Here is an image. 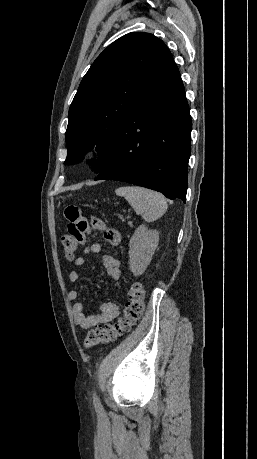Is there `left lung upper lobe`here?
Masks as SVG:
<instances>
[{
    "instance_id": "obj_1",
    "label": "left lung upper lobe",
    "mask_w": 257,
    "mask_h": 459,
    "mask_svg": "<svg viewBox=\"0 0 257 459\" xmlns=\"http://www.w3.org/2000/svg\"><path fill=\"white\" fill-rule=\"evenodd\" d=\"M171 55L150 33L132 32L109 45L83 77L69 109L65 134L66 164L79 162L96 148L91 160L96 172L106 165L118 129L144 89Z\"/></svg>"
}]
</instances>
